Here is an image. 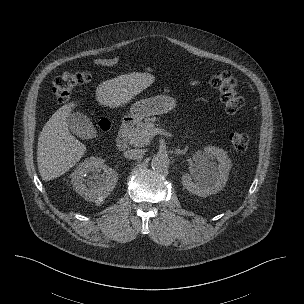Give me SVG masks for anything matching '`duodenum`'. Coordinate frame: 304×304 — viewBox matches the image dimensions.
<instances>
[{
  "instance_id": "duodenum-1",
  "label": "duodenum",
  "mask_w": 304,
  "mask_h": 304,
  "mask_svg": "<svg viewBox=\"0 0 304 304\" xmlns=\"http://www.w3.org/2000/svg\"><path fill=\"white\" fill-rule=\"evenodd\" d=\"M134 126V119L131 117L125 118L118 131L116 145L119 150L127 148L128 134Z\"/></svg>"
}]
</instances>
